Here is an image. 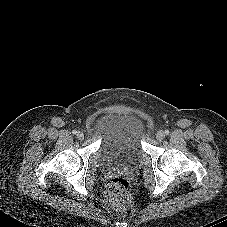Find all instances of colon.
<instances>
[{"label": "colon", "mask_w": 227, "mask_h": 227, "mask_svg": "<svg viewBox=\"0 0 227 227\" xmlns=\"http://www.w3.org/2000/svg\"><path fill=\"white\" fill-rule=\"evenodd\" d=\"M108 205L120 214L130 211L134 205V188L131 182L122 176H113L105 185Z\"/></svg>", "instance_id": "5ec220e1"}]
</instances>
